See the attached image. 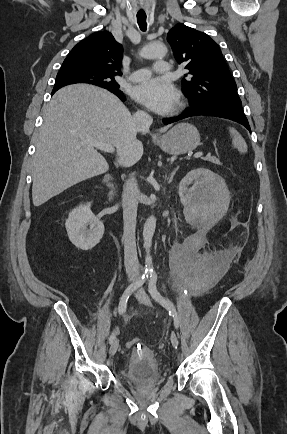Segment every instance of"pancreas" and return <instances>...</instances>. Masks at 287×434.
<instances>
[{
	"label": "pancreas",
	"mask_w": 287,
	"mask_h": 434,
	"mask_svg": "<svg viewBox=\"0 0 287 434\" xmlns=\"http://www.w3.org/2000/svg\"><path fill=\"white\" fill-rule=\"evenodd\" d=\"M203 159H204L205 161H209V162H211V163H214V164H217V165H221L219 159H217V158L214 157V156H207V157H205V158H203Z\"/></svg>",
	"instance_id": "1"
}]
</instances>
